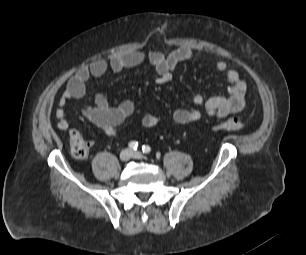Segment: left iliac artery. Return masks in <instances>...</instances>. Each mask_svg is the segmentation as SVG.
<instances>
[{"mask_svg":"<svg viewBox=\"0 0 306 255\" xmlns=\"http://www.w3.org/2000/svg\"><path fill=\"white\" fill-rule=\"evenodd\" d=\"M142 151H143V153L148 154V153L151 152V147L149 145H143L142 146Z\"/></svg>","mask_w":306,"mask_h":255,"instance_id":"44dca946","label":"left iliac artery"}]
</instances>
